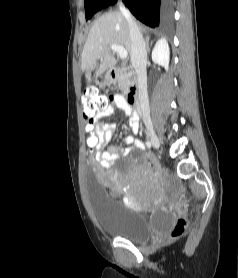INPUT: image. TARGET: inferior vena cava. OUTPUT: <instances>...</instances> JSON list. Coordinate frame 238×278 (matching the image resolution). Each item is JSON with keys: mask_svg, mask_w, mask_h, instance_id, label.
I'll list each match as a JSON object with an SVG mask.
<instances>
[{"mask_svg": "<svg viewBox=\"0 0 238 278\" xmlns=\"http://www.w3.org/2000/svg\"><path fill=\"white\" fill-rule=\"evenodd\" d=\"M120 11L125 17L131 40V64L137 76V88L140 107L143 114L144 122L147 126L151 125L150 108L147 93V52L146 45L139 27L133 20L131 13L122 4H120Z\"/></svg>", "mask_w": 238, "mask_h": 278, "instance_id": "1", "label": "inferior vena cava"}]
</instances>
